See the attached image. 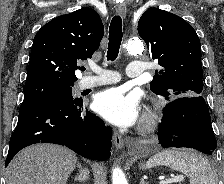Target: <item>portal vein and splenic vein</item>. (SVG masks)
Listing matches in <instances>:
<instances>
[{"mask_svg":"<svg viewBox=\"0 0 224 184\" xmlns=\"http://www.w3.org/2000/svg\"><path fill=\"white\" fill-rule=\"evenodd\" d=\"M184 177L182 175H177L169 179H165L159 182V184H171L183 181Z\"/></svg>","mask_w":224,"mask_h":184,"instance_id":"1","label":"portal vein and splenic vein"}]
</instances>
